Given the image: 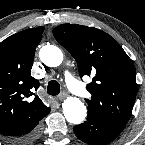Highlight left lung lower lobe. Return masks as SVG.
<instances>
[{"instance_id":"obj_1","label":"left lung lower lobe","mask_w":145,"mask_h":145,"mask_svg":"<svg viewBox=\"0 0 145 145\" xmlns=\"http://www.w3.org/2000/svg\"><path fill=\"white\" fill-rule=\"evenodd\" d=\"M122 129L121 126H115L88 115L84 123L74 126V133L87 144L106 145L112 142Z\"/></svg>"}]
</instances>
